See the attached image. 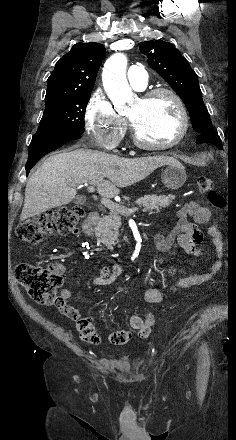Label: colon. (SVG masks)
Instances as JSON below:
<instances>
[{
  "mask_svg": "<svg viewBox=\"0 0 236 440\" xmlns=\"http://www.w3.org/2000/svg\"><path fill=\"white\" fill-rule=\"evenodd\" d=\"M200 193L207 195L211 205L217 210H224L225 197L215 190L212 181L205 176L197 179ZM84 216V209L79 205L63 206L44 212L20 223L16 229L19 240L40 245L49 237L73 233ZM16 279L37 303L55 306L61 311L66 307L64 299L57 293L63 283L61 273L51 267H42L33 263H19L15 270ZM87 321V320H83ZM143 324H155V317L147 314Z\"/></svg>",
  "mask_w": 236,
  "mask_h": 440,
  "instance_id": "1",
  "label": "colon"
}]
</instances>
